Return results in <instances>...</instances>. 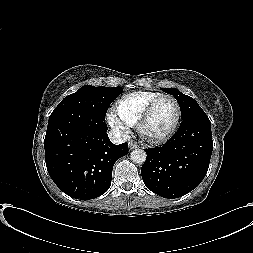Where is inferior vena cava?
<instances>
[{"label":"inferior vena cava","instance_id":"inferior-vena-cava-1","mask_svg":"<svg viewBox=\"0 0 253 253\" xmlns=\"http://www.w3.org/2000/svg\"><path fill=\"white\" fill-rule=\"evenodd\" d=\"M108 136L111 142H113L114 144H122L125 141H127L126 136L122 135L120 132L115 131V130L109 131Z\"/></svg>","mask_w":253,"mask_h":253}]
</instances>
